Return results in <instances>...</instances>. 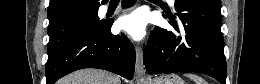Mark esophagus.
<instances>
[{
    "mask_svg": "<svg viewBox=\"0 0 260 84\" xmlns=\"http://www.w3.org/2000/svg\"><path fill=\"white\" fill-rule=\"evenodd\" d=\"M135 79L138 83L147 79L146 70L143 64V48L140 45L136 46Z\"/></svg>",
    "mask_w": 260,
    "mask_h": 84,
    "instance_id": "34e87169",
    "label": "esophagus"
}]
</instances>
